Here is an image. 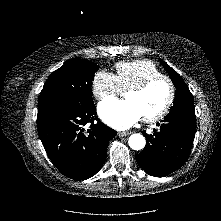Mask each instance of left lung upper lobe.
Wrapping results in <instances>:
<instances>
[{"mask_svg": "<svg viewBox=\"0 0 221 221\" xmlns=\"http://www.w3.org/2000/svg\"><path fill=\"white\" fill-rule=\"evenodd\" d=\"M162 65L170 75V78L176 87L175 98L173 106L171 107L169 114H179V113H195L193 96L183 81L182 77L173 70L166 62L161 60Z\"/></svg>", "mask_w": 221, "mask_h": 221, "instance_id": "left-lung-upper-lobe-1", "label": "left lung upper lobe"}]
</instances>
